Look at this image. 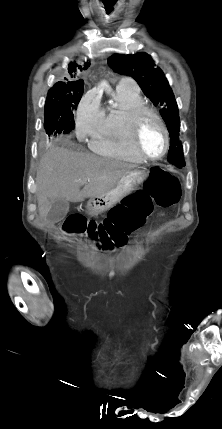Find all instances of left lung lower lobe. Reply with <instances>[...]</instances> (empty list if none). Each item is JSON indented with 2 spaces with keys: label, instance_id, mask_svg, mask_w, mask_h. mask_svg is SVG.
<instances>
[{
  "label": "left lung lower lobe",
  "instance_id": "1",
  "mask_svg": "<svg viewBox=\"0 0 222 429\" xmlns=\"http://www.w3.org/2000/svg\"><path fill=\"white\" fill-rule=\"evenodd\" d=\"M178 168H182L183 166H177Z\"/></svg>",
  "mask_w": 222,
  "mask_h": 429
}]
</instances>
